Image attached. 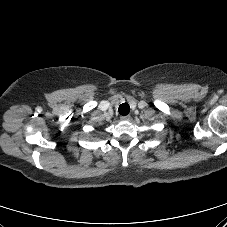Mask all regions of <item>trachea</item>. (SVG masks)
<instances>
[{
  "label": "trachea",
  "mask_w": 227,
  "mask_h": 227,
  "mask_svg": "<svg viewBox=\"0 0 227 227\" xmlns=\"http://www.w3.org/2000/svg\"><path fill=\"white\" fill-rule=\"evenodd\" d=\"M118 111L121 115L125 116L130 112V107L127 103H122L119 106Z\"/></svg>",
  "instance_id": "1"
}]
</instances>
